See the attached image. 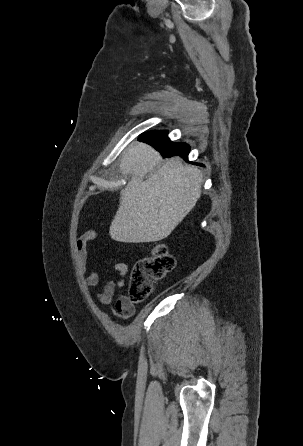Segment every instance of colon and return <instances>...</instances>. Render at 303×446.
I'll return each instance as SVG.
<instances>
[{
	"instance_id": "1",
	"label": "colon",
	"mask_w": 303,
	"mask_h": 446,
	"mask_svg": "<svg viewBox=\"0 0 303 446\" xmlns=\"http://www.w3.org/2000/svg\"><path fill=\"white\" fill-rule=\"evenodd\" d=\"M175 267V258L164 244H155L151 254L134 263L129 273L127 301L139 304L153 292L154 283Z\"/></svg>"
}]
</instances>
